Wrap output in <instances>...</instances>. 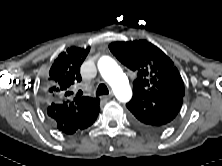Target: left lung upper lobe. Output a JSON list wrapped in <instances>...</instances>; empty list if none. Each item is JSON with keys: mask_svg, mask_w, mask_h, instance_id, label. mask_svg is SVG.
Masks as SVG:
<instances>
[{"mask_svg": "<svg viewBox=\"0 0 222 166\" xmlns=\"http://www.w3.org/2000/svg\"><path fill=\"white\" fill-rule=\"evenodd\" d=\"M110 51L131 70L137 72L133 95L155 97L160 93L184 96V83L172 60L146 40L113 42Z\"/></svg>", "mask_w": 222, "mask_h": 166, "instance_id": "1", "label": "left lung upper lobe"}]
</instances>
